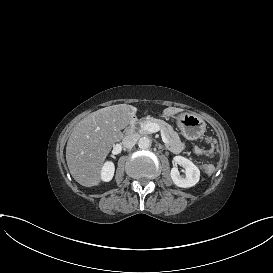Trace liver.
<instances>
[{"mask_svg": "<svg viewBox=\"0 0 273 273\" xmlns=\"http://www.w3.org/2000/svg\"><path fill=\"white\" fill-rule=\"evenodd\" d=\"M183 111L168 107L163 117ZM137 112L132 105L119 104L99 109L82 119L71 133L66 147V160L72 177L82 186L100 182L104 160L113 144L123 138L124 129Z\"/></svg>", "mask_w": 273, "mask_h": 273, "instance_id": "6515ba94", "label": "liver"}]
</instances>
